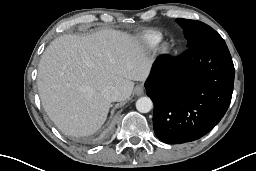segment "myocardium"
I'll list each match as a JSON object with an SVG mask.
<instances>
[{
  "label": "myocardium",
  "instance_id": "obj_1",
  "mask_svg": "<svg viewBox=\"0 0 256 171\" xmlns=\"http://www.w3.org/2000/svg\"><path fill=\"white\" fill-rule=\"evenodd\" d=\"M169 49H170V45L168 42H163L159 48L160 52L163 54L167 53L169 51Z\"/></svg>",
  "mask_w": 256,
  "mask_h": 171
}]
</instances>
